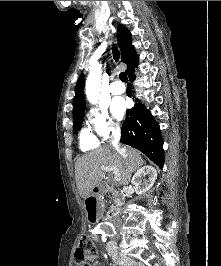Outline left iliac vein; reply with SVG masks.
<instances>
[{"label":"left iliac vein","instance_id":"obj_1","mask_svg":"<svg viewBox=\"0 0 221 266\" xmlns=\"http://www.w3.org/2000/svg\"><path fill=\"white\" fill-rule=\"evenodd\" d=\"M112 249L117 250V247L116 246H113Z\"/></svg>","mask_w":221,"mask_h":266}]
</instances>
